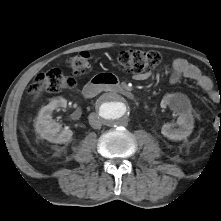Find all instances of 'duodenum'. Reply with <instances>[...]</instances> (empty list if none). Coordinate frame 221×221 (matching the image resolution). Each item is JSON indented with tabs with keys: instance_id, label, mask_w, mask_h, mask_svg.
Masks as SVG:
<instances>
[{
	"instance_id": "1",
	"label": "duodenum",
	"mask_w": 221,
	"mask_h": 221,
	"mask_svg": "<svg viewBox=\"0 0 221 221\" xmlns=\"http://www.w3.org/2000/svg\"><path fill=\"white\" fill-rule=\"evenodd\" d=\"M109 90L111 92L120 94L127 98H132L133 94L124 86L117 83V81L109 75L102 74L93 77L83 88V95L86 98H93L102 90Z\"/></svg>"
}]
</instances>
